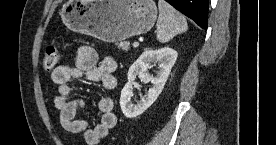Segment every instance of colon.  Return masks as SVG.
Here are the masks:
<instances>
[{"label": "colon", "mask_w": 276, "mask_h": 145, "mask_svg": "<svg viewBox=\"0 0 276 145\" xmlns=\"http://www.w3.org/2000/svg\"><path fill=\"white\" fill-rule=\"evenodd\" d=\"M59 60V49L55 42L49 44L44 52L42 65L44 70L50 71L55 68Z\"/></svg>", "instance_id": "colon-1"}]
</instances>
